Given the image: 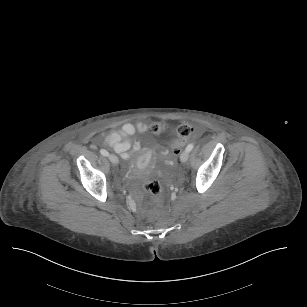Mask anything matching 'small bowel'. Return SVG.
<instances>
[{"mask_svg":"<svg viewBox=\"0 0 307 307\" xmlns=\"http://www.w3.org/2000/svg\"><path fill=\"white\" fill-rule=\"evenodd\" d=\"M147 124L138 121L135 124L131 122H126L117 131H111L105 138V142L110 145L118 154L123 158H128L129 150L139 149V143L137 141H132L130 138L136 132L145 133Z\"/></svg>","mask_w":307,"mask_h":307,"instance_id":"c3829d8e","label":"small bowel"}]
</instances>
